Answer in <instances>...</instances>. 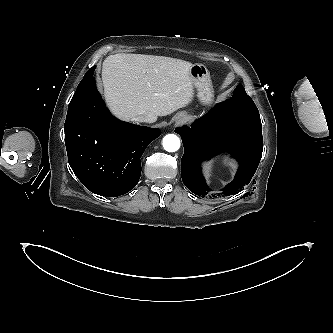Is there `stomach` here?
Wrapping results in <instances>:
<instances>
[{"label": "stomach", "mask_w": 333, "mask_h": 333, "mask_svg": "<svg viewBox=\"0 0 333 333\" xmlns=\"http://www.w3.org/2000/svg\"><path fill=\"white\" fill-rule=\"evenodd\" d=\"M190 77L197 88V96L203 104H209L213 100V87L209 72L205 65L194 64L190 69Z\"/></svg>", "instance_id": "1"}]
</instances>
